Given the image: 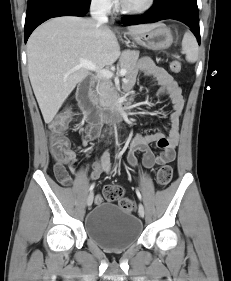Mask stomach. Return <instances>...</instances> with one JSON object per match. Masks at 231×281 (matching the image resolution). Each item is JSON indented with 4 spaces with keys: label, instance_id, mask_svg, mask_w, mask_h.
Instances as JSON below:
<instances>
[{
    "label": "stomach",
    "instance_id": "obj_1",
    "mask_svg": "<svg viewBox=\"0 0 231 281\" xmlns=\"http://www.w3.org/2000/svg\"><path fill=\"white\" fill-rule=\"evenodd\" d=\"M131 37L137 44L151 50H164L173 43L170 29L163 24H157L156 27L144 33L131 34Z\"/></svg>",
    "mask_w": 231,
    "mask_h": 281
}]
</instances>
